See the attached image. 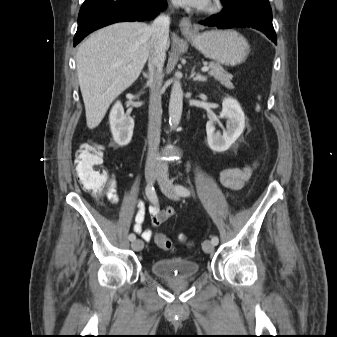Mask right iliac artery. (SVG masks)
<instances>
[{
    "label": "right iliac artery",
    "instance_id": "1",
    "mask_svg": "<svg viewBox=\"0 0 337 337\" xmlns=\"http://www.w3.org/2000/svg\"><path fill=\"white\" fill-rule=\"evenodd\" d=\"M146 196L148 197V199L154 203V204H157L158 203V198H157V195H156V192H155V189L153 186L151 185H147L146 187ZM136 239V236L135 234L131 233L129 235V240L130 241H134Z\"/></svg>",
    "mask_w": 337,
    "mask_h": 337
}]
</instances>
